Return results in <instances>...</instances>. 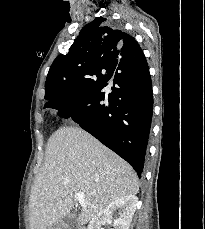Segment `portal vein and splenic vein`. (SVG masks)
<instances>
[{
  "mask_svg": "<svg viewBox=\"0 0 205 229\" xmlns=\"http://www.w3.org/2000/svg\"><path fill=\"white\" fill-rule=\"evenodd\" d=\"M75 197H76V199H77L80 203H83V202H84L85 196H84V193H83V192H77V193L75 194Z\"/></svg>",
  "mask_w": 205,
  "mask_h": 229,
  "instance_id": "18ae733b",
  "label": "portal vein and splenic vein"
}]
</instances>
